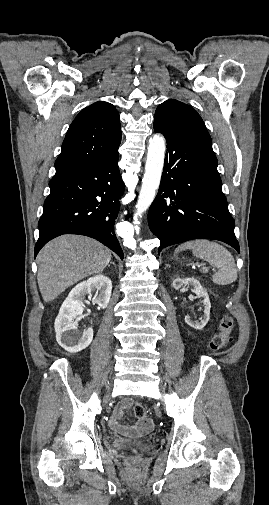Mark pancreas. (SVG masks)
I'll use <instances>...</instances> for the list:
<instances>
[{
    "label": "pancreas",
    "mask_w": 269,
    "mask_h": 505,
    "mask_svg": "<svg viewBox=\"0 0 269 505\" xmlns=\"http://www.w3.org/2000/svg\"><path fill=\"white\" fill-rule=\"evenodd\" d=\"M203 273H206L207 271L205 269L202 270Z\"/></svg>",
    "instance_id": "pancreas-1"
}]
</instances>
